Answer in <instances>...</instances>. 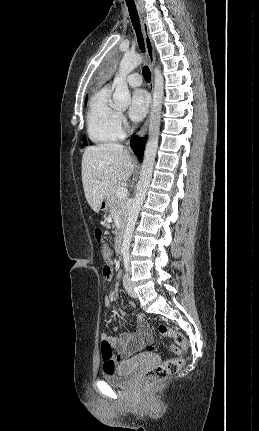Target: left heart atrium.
Returning <instances> with one entry per match:
<instances>
[{
  "mask_svg": "<svg viewBox=\"0 0 259 431\" xmlns=\"http://www.w3.org/2000/svg\"><path fill=\"white\" fill-rule=\"evenodd\" d=\"M150 104V98L146 91L135 90L131 96V102L128 110L129 117L133 121H140L146 115Z\"/></svg>",
  "mask_w": 259,
  "mask_h": 431,
  "instance_id": "39dd6f15",
  "label": "left heart atrium"
}]
</instances>
